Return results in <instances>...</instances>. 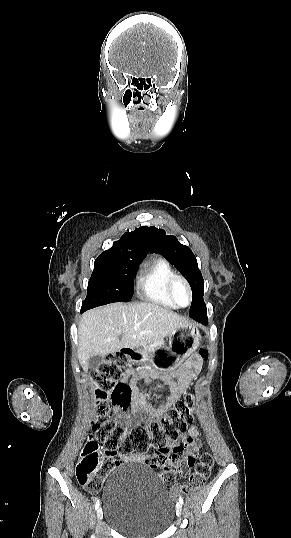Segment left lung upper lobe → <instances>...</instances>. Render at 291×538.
I'll list each match as a JSON object with an SVG mask.
<instances>
[{
    "mask_svg": "<svg viewBox=\"0 0 291 538\" xmlns=\"http://www.w3.org/2000/svg\"><path fill=\"white\" fill-rule=\"evenodd\" d=\"M151 250L162 254L187 279L192 289V303L189 316L200 308H206L203 301L204 280L192 250L181 244L175 236L166 235L163 229L149 228Z\"/></svg>",
    "mask_w": 291,
    "mask_h": 538,
    "instance_id": "left-lung-upper-lobe-1",
    "label": "left lung upper lobe"
}]
</instances>
